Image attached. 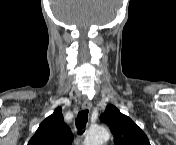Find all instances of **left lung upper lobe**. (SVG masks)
Segmentation results:
<instances>
[{
    "label": "left lung upper lobe",
    "mask_w": 176,
    "mask_h": 145,
    "mask_svg": "<svg viewBox=\"0 0 176 145\" xmlns=\"http://www.w3.org/2000/svg\"><path fill=\"white\" fill-rule=\"evenodd\" d=\"M101 121L109 125L115 145H150L146 134L113 105L107 106Z\"/></svg>",
    "instance_id": "5c2ea615"
}]
</instances>
